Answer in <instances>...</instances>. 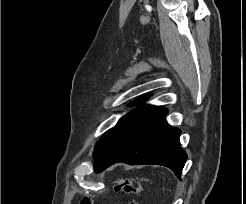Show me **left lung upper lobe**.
Listing matches in <instances>:
<instances>
[{"label":"left lung upper lobe","mask_w":246,"mask_h":204,"mask_svg":"<svg viewBox=\"0 0 246 204\" xmlns=\"http://www.w3.org/2000/svg\"><path fill=\"white\" fill-rule=\"evenodd\" d=\"M149 96H150V95L148 94V95H144V96H142V97H139L138 99H136L135 101H133L132 104H133V105L138 104V103L144 101L145 99H147Z\"/></svg>","instance_id":"left-lung-upper-lobe-1"}]
</instances>
